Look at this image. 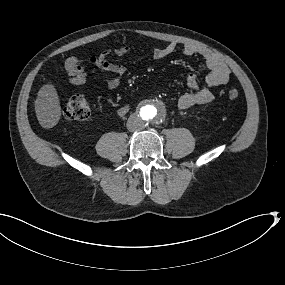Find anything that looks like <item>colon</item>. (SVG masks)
I'll use <instances>...</instances> for the list:
<instances>
[{
	"label": "colon",
	"instance_id": "obj_1",
	"mask_svg": "<svg viewBox=\"0 0 285 285\" xmlns=\"http://www.w3.org/2000/svg\"><path fill=\"white\" fill-rule=\"evenodd\" d=\"M65 68L69 77V81L75 85H82L86 81V73L84 69L78 64L76 57H70L65 63ZM228 97L231 100H235L239 97V91L237 89H230L228 91ZM64 114L71 120H86L91 115V109L88 101L81 95H73L68 100Z\"/></svg>",
	"mask_w": 285,
	"mask_h": 285
}]
</instances>
